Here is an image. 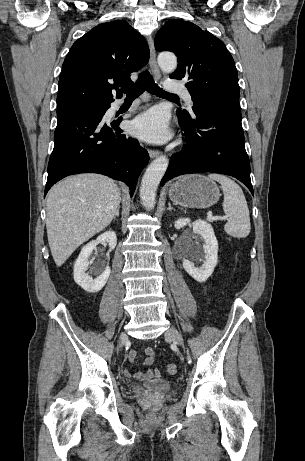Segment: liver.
<instances>
[{"label": "liver", "mask_w": 305, "mask_h": 461, "mask_svg": "<svg viewBox=\"0 0 305 461\" xmlns=\"http://www.w3.org/2000/svg\"><path fill=\"white\" fill-rule=\"evenodd\" d=\"M120 201L114 180L99 174L68 177L49 191L46 228L58 267L78 246L111 223Z\"/></svg>", "instance_id": "liver-1"}]
</instances>
